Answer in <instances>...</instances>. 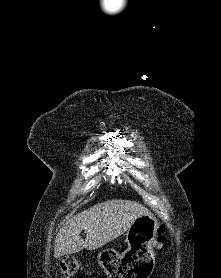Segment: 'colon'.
<instances>
[{
    "mask_svg": "<svg viewBox=\"0 0 221 278\" xmlns=\"http://www.w3.org/2000/svg\"><path fill=\"white\" fill-rule=\"evenodd\" d=\"M167 239L163 227L158 228V236L155 241V247L164 249ZM60 274L62 278H88L82 265L74 258H64L59 265Z\"/></svg>",
    "mask_w": 221,
    "mask_h": 278,
    "instance_id": "1",
    "label": "colon"
}]
</instances>
